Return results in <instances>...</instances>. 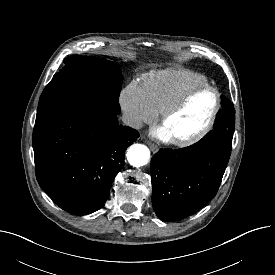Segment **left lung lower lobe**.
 Instances as JSON below:
<instances>
[{"mask_svg": "<svg viewBox=\"0 0 275 275\" xmlns=\"http://www.w3.org/2000/svg\"><path fill=\"white\" fill-rule=\"evenodd\" d=\"M226 115L222 109L216 120ZM234 131L213 129L197 143L161 149L151 160L152 204L164 221L196 213L217 193L229 161Z\"/></svg>", "mask_w": 275, "mask_h": 275, "instance_id": "obj_1", "label": "left lung lower lobe"}]
</instances>
